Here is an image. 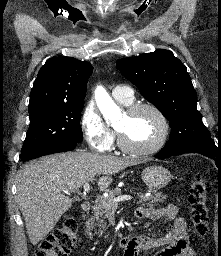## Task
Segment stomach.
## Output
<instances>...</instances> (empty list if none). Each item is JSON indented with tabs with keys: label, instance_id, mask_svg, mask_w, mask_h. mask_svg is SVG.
Returning a JSON list of instances; mask_svg holds the SVG:
<instances>
[{
	"label": "stomach",
	"instance_id": "obj_1",
	"mask_svg": "<svg viewBox=\"0 0 221 256\" xmlns=\"http://www.w3.org/2000/svg\"><path fill=\"white\" fill-rule=\"evenodd\" d=\"M142 180L149 189L158 190L171 181V173L162 166H150L142 171Z\"/></svg>",
	"mask_w": 221,
	"mask_h": 256
}]
</instances>
